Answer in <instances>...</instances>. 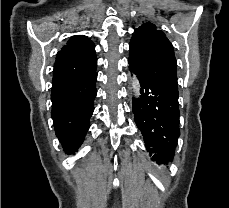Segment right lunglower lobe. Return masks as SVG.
<instances>
[{
	"instance_id": "right-lung-lower-lobe-1",
	"label": "right lung lower lobe",
	"mask_w": 229,
	"mask_h": 208,
	"mask_svg": "<svg viewBox=\"0 0 229 208\" xmlns=\"http://www.w3.org/2000/svg\"><path fill=\"white\" fill-rule=\"evenodd\" d=\"M96 78L95 65L88 75L51 92V116L56 136L68 154L78 150L89 129Z\"/></svg>"
}]
</instances>
